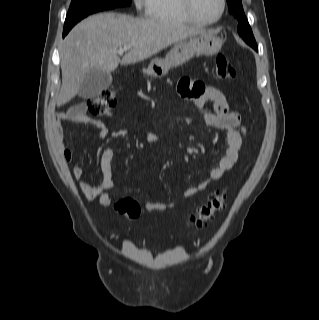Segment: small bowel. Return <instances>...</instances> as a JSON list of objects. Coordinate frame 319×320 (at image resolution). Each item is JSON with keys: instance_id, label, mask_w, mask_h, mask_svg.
Wrapping results in <instances>:
<instances>
[{"instance_id": "c3829d8e", "label": "small bowel", "mask_w": 319, "mask_h": 320, "mask_svg": "<svg viewBox=\"0 0 319 320\" xmlns=\"http://www.w3.org/2000/svg\"><path fill=\"white\" fill-rule=\"evenodd\" d=\"M178 92L182 98L193 102L206 125L226 131V147L223 156L220 158L218 165L210 171L204 180L185 191L184 196L191 197L205 190L212 182L219 180L227 171L233 168L248 130L242 123L240 115L229 110L224 94L216 87L207 85L200 80L183 77L179 81ZM207 103L212 104L214 112H208L205 109ZM66 121L83 123L94 127L97 130L96 136L99 139H104L110 134L109 128L103 121L86 115L84 105H77L70 111L57 116L56 126L59 136L61 135L60 124ZM147 140L155 146L163 144L162 138L154 131L148 133ZM62 155L67 162L71 161L72 153L70 150L64 149ZM114 156L115 152L112 148H106L102 151L100 156L102 182L99 186H94L85 180H81L84 175L82 166L76 165L72 169L74 178L80 180L79 187L83 195L88 199H98L104 207H110L114 202L113 197L108 193L109 190L115 187L112 170ZM174 206V201H152L145 204V209L147 211L161 212L172 209Z\"/></svg>"}]
</instances>
